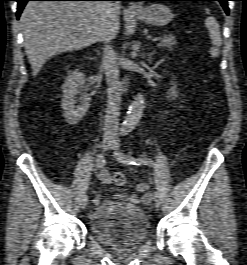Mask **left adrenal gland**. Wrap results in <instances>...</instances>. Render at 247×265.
I'll list each match as a JSON object with an SVG mask.
<instances>
[{"mask_svg":"<svg viewBox=\"0 0 247 265\" xmlns=\"http://www.w3.org/2000/svg\"><path fill=\"white\" fill-rule=\"evenodd\" d=\"M154 51H152L151 53H149V55H148V62L149 63H152V56L154 55Z\"/></svg>","mask_w":247,"mask_h":265,"instance_id":"obj_1","label":"left adrenal gland"}]
</instances>
